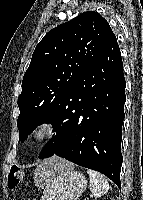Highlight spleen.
Segmentation results:
<instances>
[{
  "label": "spleen",
  "instance_id": "obj_1",
  "mask_svg": "<svg viewBox=\"0 0 143 200\" xmlns=\"http://www.w3.org/2000/svg\"><path fill=\"white\" fill-rule=\"evenodd\" d=\"M87 173L90 176V191L95 198H99L106 194L109 190V183L107 178L101 173L87 169Z\"/></svg>",
  "mask_w": 143,
  "mask_h": 200
}]
</instances>
